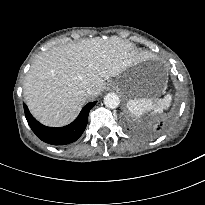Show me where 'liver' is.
Listing matches in <instances>:
<instances>
[{
	"instance_id": "1",
	"label": "liver",
	"mask_w": 205,
	"mask_h": 205,
	"mask_svg": "<svg viewBox=\"0 0 205 205\" xmlns=\"http://www.w3.org/2000/svg\"><path fill=\"white\" fill-rule=\"evenodd\" d=\"M140 60L135 46L117 36L52 47L31 65L23 86L25 101L42 124L64 126L77 117L87 100L101 93L106 80Z\"/></svg>"
}]
</instances>
